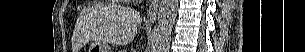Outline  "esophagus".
I'll return each instance as SVG.
<instances>
[{"mask_svg":"<svg viewBox=\"0 0 305 52\" xmlns=\"http://www.w3.org/2000/svg\"><path fill=\"white\" fill-rule=\"evenodd\" d=\"M159 3H160V0H153L151 2L148 13H147L148 20L154 21L156 19Z\"/></svg>","mask_w":305,"mask_h":52,"instance_id":"esophagus-1","label":"esophagus"}]
</instances>
